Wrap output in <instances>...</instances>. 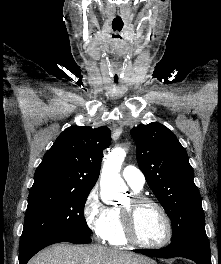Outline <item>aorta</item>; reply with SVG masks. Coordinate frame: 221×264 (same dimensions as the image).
Listing matches in <instances>:
<instances>
[{
	"label": "aorta",
	"instance_id": "1",
	"mask_svg": "<svg viewBox=\"0 0 221 264\" xmlns=\"http://www.w3.org/2000/svg\"><path fill=\"white\" fill-rule=\"evenodd\" d=\"M125 157V149L118 147L113 149L104 160L100 176V194L105 202L119 201L126 191V184L120 176Z\"/></svg>",
	"mask_w": 221,
	"mask_h": 264
}]
</instances>
